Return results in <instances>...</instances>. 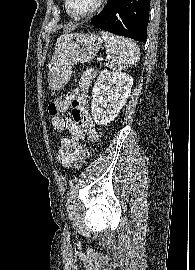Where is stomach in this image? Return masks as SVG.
Listing matches in <instances>:
<instances>
[{
  "label": "stomach",
  "instance_id": "stomach-1",
  "mask_svg": "<svg viewBox=\"0 0 195 270\" xmlns=\"http://www.w3.org/2000/svg\"><path fill=\"white\" fill-rule=\"evenodd\" d=\"M102 39L96 34H66L56 43L55 55L49 64L48 81L52 89H61L71 76L74 64L92 60Z\"/></svg>",
  "mask_w": 195,
  "mask_h": 270
}]
</instances>
